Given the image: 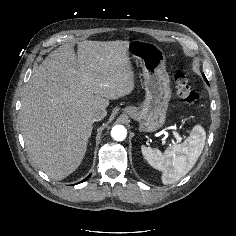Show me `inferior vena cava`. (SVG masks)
Masks as SVG:
<instances>
[{
  "mask_svg": "<svg viewBox=\"0 0 236 236\" xmlns=\"http://www.w3.org/2000/svg\"><path fill=\"white\" fill-rule=\"evenodd\" d=\"M105 109L95 108L89 113V117L93 122L100 121L106 116Z\"/></svg>",
  "mask_w": 236,
  "mask_h": 236,
  "instance_id": "1",
  "label": "inferior vena cava"
}]
</instances>
